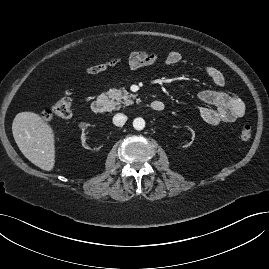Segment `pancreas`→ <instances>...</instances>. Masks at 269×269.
<instances>
[{
    "mask_svg": "<svg viewBox=\"0 0 269 269\" xmlns=\"http://www.w3.org/2000/svg\"><path fill=\"white\" fill-rule=\"evenodd\" d=\"M111 99V104L114 109H120L121 104L128 106L133 103L132 99L136 98V95L130 94L126 90L110 89L107 93ZM123 100V101H122Z\"/></svg>",
    "mask_w": 269,
    "mask_h": 269,
    "instance_id": "cf45deb5",
    "label": "pancreas"
}]
</instances>
